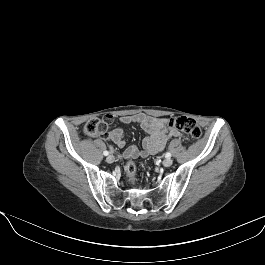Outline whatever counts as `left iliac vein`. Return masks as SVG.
Wrapping results in <instances>:
<instances>
[{"label":"left iliac vein","mask_w":265,"mask_h":265,"mask_svg":"<svg viewBox=\"0 0 265 265\" xmlns=\"http://www.w3.org/2000/svg\"><path fill=\"white\" fill-rule=\"evenodd\" d=\"M172 163H173V161H172V159H170V158H167V159H165V160L163 161V165H164L165 167H170V166L172 165Z\"/></svg>","instance_id":"obj_1"}]
</instances>
